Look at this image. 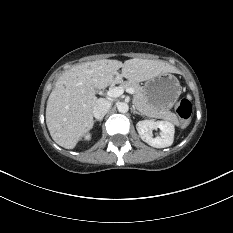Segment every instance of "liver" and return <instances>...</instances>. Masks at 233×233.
Returning a JSON list of instances; mask_svg holds the SVG:
<instances>
[{"instance_id":"liver-1","label":"liver","mask_w":233,"mask_h":233,"mask_svg":"<svg viewBox=\"0 0 233 233\" xmlns=\"http://www.w3.org/2000/svg\"><path fill=\"white\" fill-rule=\"evenodd\" d=\"M177 72L164 61L139 58L124 63L102 59L72 67L56 81L47 101L46 124L52 139L61 147L73 149L93 127V108L98 100L95 88L121 83L123 77L138 83L163 73Z\"/></svg>"}]
</instances>
